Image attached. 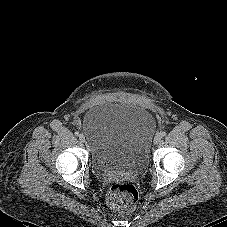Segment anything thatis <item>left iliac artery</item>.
Instances as JSON below:
<instances>
[{"instance_id": "1", "label": "left iliac artery", "mask_w": 227, "mask_h": 227, "mask_svg": "<svg viewBox=\"0 0 227 227\" xmlns=\"http://www.w3.org/2000/svg\"><path fill=\"white\" fill-rule=\"evenodd\" d=\"M162 136H165L166 135V132H162V133H160Z\"/></svg>"}]
</instances>
